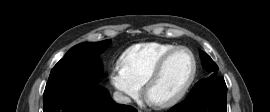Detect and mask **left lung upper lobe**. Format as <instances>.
<instances>
[{"label": "left lung upper lobe", "instance_id": "obj_1", "mask_svg": "<svg viewBox=\"0 0 270 112\" xmlns=\"http://www.w3.org/2000/svg\"><path fill=\"white\" fill-rule=\"evenodd\" d=\"M200 58H201V61H202L203 68L206 71L210 72L211 76L209 78H207V79H202L199 82H197L195 84V86L192 88L190 94L197 92L200 88H202L205 84H207L211 80H213V79H215L217 77H220L217 74L218 66L214 63V61L211 59V57L208 54H206L203 51H200Z\"/></svg>", "mask_w": 270, "mask_h": 112}]
</instances>
